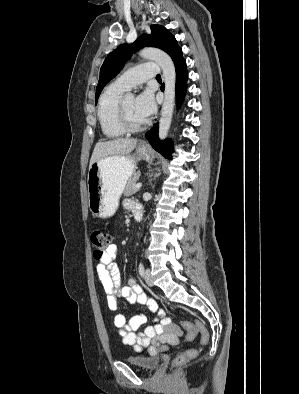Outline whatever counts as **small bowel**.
<instances>
[{"label":"small bowel","instance_id":"c3829d8e","mask_svg":"<svg viewBox=\"0 0 299 394\" xmlns=\"http://www.w3.org/2000/svg\"><path fill=\"white\" fill-rule=\"evenodd\" d=\"M124 206L135 211L137 205L130 200L124 202ZM117 254L116 245H110L107 253L100 259L96 266L97 274L107 293V304L110 310L116 311L119 297L124 298L129 304L145 306L156 318L153 325L146 326L143 331L140 327L145 325L147 317L140 313L132 316L129 320L123 314H116L114 325L119 329L122 342L126 346H132L136 350L148 348L154 354L158 347L177 346L183 330L165 315L157 301L149 296L138 284L135 278H129L122 284L117 267L114 263Z\"/></svg>","mask_w":299,"mask_h":394}]
</instances>
